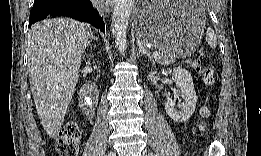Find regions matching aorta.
Wrapping results in <instances>:
<instances>
[{"mask_svg":"<svg viewBox=\"0 0 261 156\" xmlns=\"http://www.w3.org/2000/svg\"><path fill=\"white\" fill-rule=\"evenodd\" d=\"M133 4L132 0H116L114 4L112 34L116 47L122 55L127 50V28Z\"/></svg>","mask_w":261,"mask_h":156,"instance_id":"aorta-1","label":"aorta"}]
</instances>
